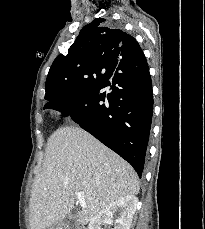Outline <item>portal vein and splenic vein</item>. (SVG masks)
Returning <instances> with one entry per match:
<instances>
[{"label": "portal vein and splenic vein", "instance_id": "portal-vein-and-splenic-vein-1", "mask_svg": "<svg viewBox=\"0 0 205 229\" xmlns=\"http://www.w3.org/2000/svg\"><path fill=\"white\" fill-rule=\"evenodd\" d=\"M76 198L80 203H83L84 202V198H85L84 193L83 192L76 193Z\"/></svg>", "mask_w": 205, "mask_h": 229}]
</instances>
